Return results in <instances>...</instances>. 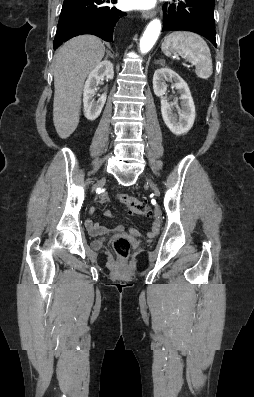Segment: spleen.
<instances>
[{"label": "spleen", "instance_id": "spleen-1", "mask_svg": "<svg viewBox=\"0 0 254 397\" xmlns=\"http://www.w3.org/2000/svg\"><path fill=\"white\" fill-rule=\"evenodd\" d=\"M167 56L180 55L196 67V75L207 80L213 73L210 49L197 34L186 31H174L166 36L161 47Z\"/></svg>", "mask_w": 254, "mask_h": 397}]
</instances>
